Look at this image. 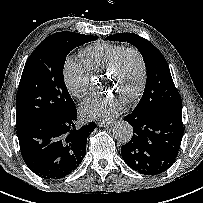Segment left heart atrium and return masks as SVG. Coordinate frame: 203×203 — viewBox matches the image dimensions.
<instances>
[{
  "mask_svg": "<svg viewBox=\"0 0 203 203\" xmlns=\"http://www.w3.org/2000/svg\"><path fill=\"white\" fill-rule=\"evenodd\" d=\"M124 107L117 97H90L80 107V115L85 119L110 120Z\"/></svg>",
  "mask_w": 203,
  "mask_h": 203,
  "instance_id": "left-heart-atrium-1",
  "label": "left heart atrium"
}]
</instances>
